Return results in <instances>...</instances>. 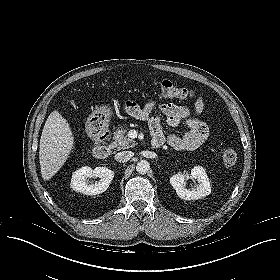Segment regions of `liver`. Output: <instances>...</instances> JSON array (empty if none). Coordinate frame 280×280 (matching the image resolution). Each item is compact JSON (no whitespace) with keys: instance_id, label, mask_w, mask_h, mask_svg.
I'll list each match as a JSON object with an SVG mask.
<instances>
[{"instance_id":"1","label":"liver","mask_w":280,"mask_h":280,"mask_svg":"<svg viewBox=\"0 0 280 280\" xmlns=\"http://www.w3.org/2000/svg\"><path fill=\"white\" fill-rule=\"evenodd\" d=\"M74 146V137L67 120L54 110L45 122L39 145L41 175L51 179L64 165Z\"/></svg>"}]
</instances>
